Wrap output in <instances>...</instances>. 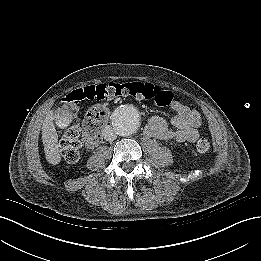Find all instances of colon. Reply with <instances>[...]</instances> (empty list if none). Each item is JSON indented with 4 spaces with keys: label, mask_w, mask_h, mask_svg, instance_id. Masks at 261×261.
Listing matches in <instances>:
<instances>
[{
    "label": "colon",
    "mask_w": 261,
    "mask_h": 261,
    "mask_svg": "<svg viewBox=\"0 0 261 261\" xmlns=\"http://www.w3.org/2000/svg\"><path fill=\"white\" fill-rule=\"evenodd\" d=\"M133 97L136 99L154 100L158 105H168L173 96L170 92L160 89L158 86L147 82H109L92 85L73 91L66 96L63 106L69 110H75L82 100H96L98 102L109 101L119 97ZM108 118V109L103 104L91 107L85 117L84 142L88 146L96 145L100 140V131ZM82 129L79 123H72L64 132L61 139V156L71 164L78 162L82 142L80 140ZM199 152H207L210 143L207 138L201 137L196 143Z\"/></svg>",
    "instance_id": "1"
}]
</instances>
